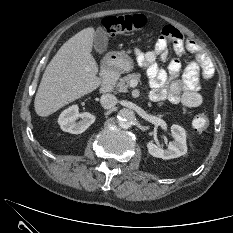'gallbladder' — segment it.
I'll list each match as a JSON object with an SVG mask.
<instances>
[{
  "label": "gallbladder",
  "instance_id": "bac80fb5",
  "mask_svg": "<svg viewBox=\"0 0 233 233\" xmlns=\"http://www.w3.org/2000/svg\"><path fill=\"white\" fill-rule=\"evenodd\" d=\"M94 50L102 54L107 50L108 47V37L104 28L99 27L94 35Z\"/></svg>",
  "mask_w": 233,
  "mask_h": 233
}]
</instances>
